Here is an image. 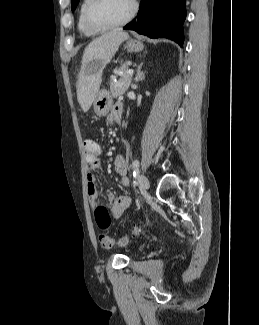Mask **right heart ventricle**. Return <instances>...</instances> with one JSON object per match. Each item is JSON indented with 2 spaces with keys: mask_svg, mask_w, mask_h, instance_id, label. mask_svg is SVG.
Returning <instances> with one entry per match:
<instances>
[{
  "mask_svg": "<svg viewBox=\"0 0 259 325\" xmlns=\"http://www.w3.org/2000/svg\"><path fill=\"white\" fill-rule=\"evenodd\" d=\"M88 0H82L80 5H79V9H78V20H77V26H78V30L85 36H94L96 34H98L99 32L90 30L85 22H84V18H83V13H84V9L85 6L87 4Z\"/></svg>",
  "mask_w": 259,
  "mask_h": 325,
  "instance_id": "right-heart-ventricle-1",
  "label": "right heart ventricle"
}]
</instances>
